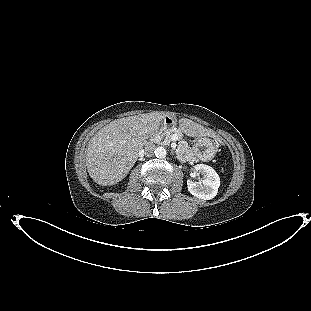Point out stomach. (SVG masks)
I'll return each mask as SVG.
<instances>
[{"label":"stomach","mask_w":311,"mask_h":311,"mask_svg":"<svg viewBox=\"0 0 311 311\" xmlns=\"http://www.w3.org/2000/svg\"><path fill=\"white\" fill-rule=\"evenodd\" d=\"M188 136H192L189 132L181 129ZM192 151L201 160H211L216 154V148L213 142L206 137L194 135Z\"/></svg>","instance_id":"1"}]
</instances>
